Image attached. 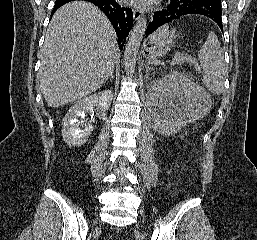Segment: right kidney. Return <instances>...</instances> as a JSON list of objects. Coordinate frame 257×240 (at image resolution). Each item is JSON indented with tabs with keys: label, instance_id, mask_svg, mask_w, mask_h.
<instances>
[{
	"label": "right kidney",
	"instance_id": "1",
	"mask_svg": "<svg viewBox=\"0 0 257 240\" xmlns=\"http://www.w3.org/2000/svg\"><path fill=\"white\" fill-rule=\"evenodd\" d=\"M113 100L111 90H104L97 94L77 101L65 115L62 122V136L70 147L81 146L86 143L93 130L92 123L86 120V113L97 106L100 112L109 109Z\"/></svg>",
	"mask_w": 257,
	"mask_h": 240
}]
</instances>
